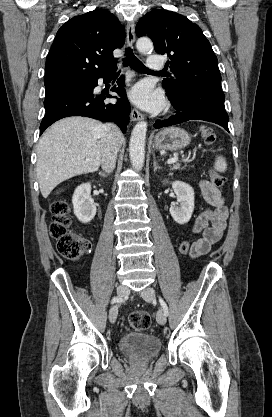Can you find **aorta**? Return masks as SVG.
Listing matches in <instances>:
<instances>
[{
	"label": "aorta",
	"instance_id": "aorta-1",
	"mask_svg": "<svg viewBox=\"0 0 272 417\" xmlns=\"http://www.w3.org/2000/svg\"><path fill=\"white\" fill-rule=\"evenodd\" d=\"M137 49L147 54L153 50V43L150 39L142 37L137 40ZM147 132V123L138 122L131 133L129 143V155L132 166L135 170H141L145 160V139Z\"/></svg>",
	"mask_w": 272,
	"mask_h": 417
}]
</instances>
